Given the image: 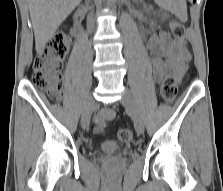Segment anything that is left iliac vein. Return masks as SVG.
<instances>
[{
  "instance_id": "4c4485c4",
  "label": "left iliac vein",
  "mask_w": 223,
  "mask_h": 191,
  "mask_svg": "<svg viewBox=\"0 0 223 191\" xmlns=\"http://www.w3.org/2000/svg\"><path fill=\"white\" fill-rule=\"evenodd\" d=\"M120 102L132 116L136 132L139 135L142 134L144 132V122L132 94L125 91Z\"/></svg>"
}]
</instances>
